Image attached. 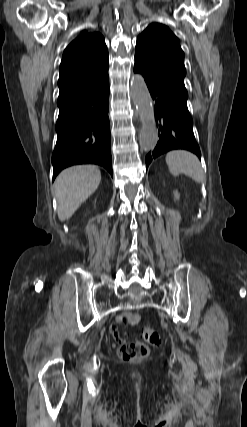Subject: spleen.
Returning a JSON list of instances; mask_svg holds the SVG:
<instances>
[{"mask_svg": "<svg viewBox=\"0 0 247 427\" xmlns=\"http://www.w3.org/2000/svg\"><path fill=\"white\" fill-rule=\"evenodd\" d=\"M166 163L170 173L178 176L180 173L192 178L197 183L205 180V175L198 158L185 150H173L167 153Z\"/></svg>", "mask_w": 247, "mask_h": 427, "instance_id": "spleen-1", "label": "spleen"}]
</instances>
